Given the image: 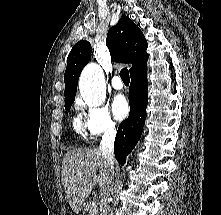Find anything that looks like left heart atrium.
Segmentation results:
<instances>
[{"mask_svg":"<svg viewBox=\"0 0 221 215\" xmlns=\"http://www.w3.org/2000/svg\"><path fill=\"white\" fill-rule=\"evenodd\" d=\"M112 110L118 120L124 119L129 113L127 99L121 94L117 95L113 100Z\"/></svg>","mask_w":221,"mask_h":215,"instance_id":"obj_1","label":"left heart atrium"}]
</instances>
